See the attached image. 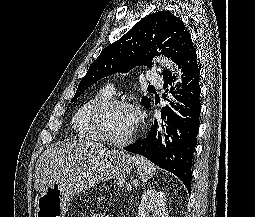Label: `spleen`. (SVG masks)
<instances>
[{"label":"spleen","instance_id":"3e777b00","mask_svg":"<svg viewBox=\"0 0 255 217\" xmlns=\"http://www.w3.org/2000/svg\"><path fill=\"white\" fill-rule=\"evenodd\" d=\"M132 161L135 164L142 181L150 179L155 174L156 166L146 158L135 155L132 157Z\"/></svg>","mask_w":255,"mask_h":217}]
</instances>
